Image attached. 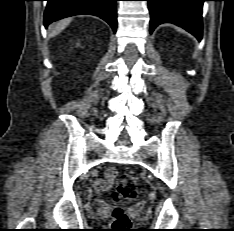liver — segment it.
<instances>
[{"label":"liver","instance_id":"liver-1","mask_svg":"<svg viewBox=\"0 0 234 231\" xmlns=\"http://www.w3.org/2000/svg\"><path fill=\"white\" fill-rule=\"evenodd\" d=\"M71 22V18L58 21L49 33V37H55L60 34Z\"/></svg>","mask_w":234,"mask_h":231}]
</instances>
